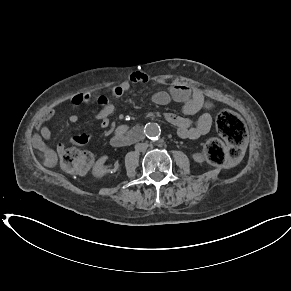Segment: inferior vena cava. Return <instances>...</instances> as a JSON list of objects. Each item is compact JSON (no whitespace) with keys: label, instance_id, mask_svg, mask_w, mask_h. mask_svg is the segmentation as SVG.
I'll list each match as a JSON object with an SVG mask.
<instances>
[{"label":"inferior vena cava","instance_id":"inferior-vena-cava-1","mask_svg":"<svg viewBox=\"0 0 291 291\" xmlns=\"http://www.w3.org/2000/svg\"><path fill=\"white\" fill-rule=\"evenodd\" d=\"M148 148V144L147 143H138L135 145V149L136 151H144Z\"/></svg>","mask_w":291,"mask_h":291}]
</instances>
